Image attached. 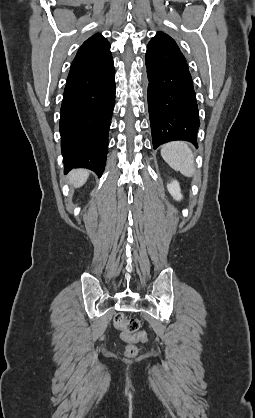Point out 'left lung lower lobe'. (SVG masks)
<instances>
[{
  "instance_id": "0a47b994",
  "label": "left lung lower lobe",
  "mask_w": 255,
  "mask_h": 418,
  "mask_svg": "<svg viewBox=\"0 0 255 418\" xmlns=\"http://www.w3.org/2000/svg\"><path fill=\"white\" fill-rule=\"evenodd\" d=\"M153 147L185 140L197 145L196 93L186 59L174 40L152 38L145 55Z\"/></svg>"
}]
</instances>
